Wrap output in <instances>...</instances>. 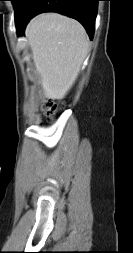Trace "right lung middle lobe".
Here are the masks:
<instances>
[{
	"mask_svg": "<svg viewBox=\"0 0 133 253\" xmlns=\"http://www.w3.org/2000/svg\"><path fill=\"white\" fill-rule=\"evenodd\" d=\"M14 5L15 21L19 18L22 6L26 0H11Z\"/></svg>",
	"mask_w": 133,
	"mask_h": 253,
	"instance_id": "1",
	"label": "right lung middle lobe"
}]
</instances>
